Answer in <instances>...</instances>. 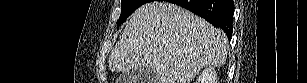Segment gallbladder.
Segmentation results:
<instances>
[{
  "label": "gallbladder",
  "instance_id": "bac80fb5",
  "mask_svg": "<svg viewBox=\"0 0 307 83\" xmlns=\"http://www.w3.org/2000/svg\"><path fill=\"white\" fill-rule=\"evenodd\" d=\"M119 80L121 83H154L156 75L150 68L134 69L124 73Z\"/></svg>",
  "mask_w": 307,
  "mask_h": 83
}]
</instances>
